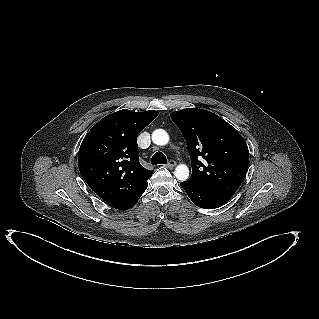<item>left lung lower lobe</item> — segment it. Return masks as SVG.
<instances>
[{
    "instance_id": "left-lung-lower-lobe-1",
    "label": "left lung lower lobe",
    "mask_w": 319,
    "mask_h": 319,
    "mask_svg": "<svg viewBox=\"0 0 319 319\" xmlns=\"http://www.w3.org/2000/svg\"><path fill=\"white\" fill-rule=\"evenodd\" d=\"M181 187L186 191L194 204L201 208L212 209L229 201L230 198L214 193L205 188L194 185L188 181L181 182Z\"/></svg>"
}]
</instances>
